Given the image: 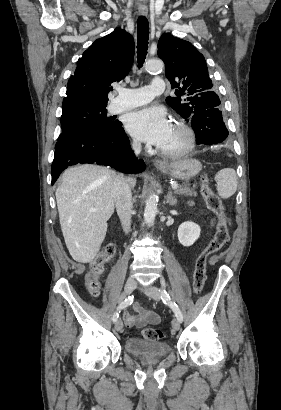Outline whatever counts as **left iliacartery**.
I'll return each instance as SVG.
<instances>
[{
	"label": "left iliac artery",
	"instance_id": "44dca946",
	"mask_svg": "<svg viewBox=\"0 0 281 410\" xmlns=\"http://www.w3.org/2000/svg\"><path fill=\"white\" fill-rule=\"evenodd\" d=\"M161 292V299L162 301L167 304L175 313L176 317L179 319V321L183 320V315L178 307V305L175 303L173 300V295L171 292H167L165 289H160Z\"/></svg>",
	"mask_w": 281,
	"mask_h": 410
}]
</instances>
